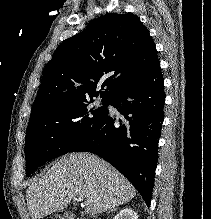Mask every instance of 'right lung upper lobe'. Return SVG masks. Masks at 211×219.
<instances>
[{
	"label": "right lung upper lobe",
	"mask_w": 211,
	"mask_h": 219,
	"mask_svg": "<svg viewBox=\"0 0 211 219\" xmlns=\"http://www.w3.org/2000/svg\"><path fill=\"white\" fill-rule=\"evenodd\" d=\"M147 28L133 14L99 17L81 33L63 41L47 64L30 119L81 99H109L145 74L157 61ZM105 79L101 90L97 84Z\"/></svg>",
	"instance_id": "cb5924a9"
}]
</instances>
